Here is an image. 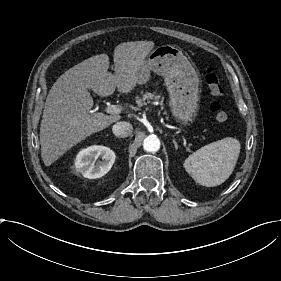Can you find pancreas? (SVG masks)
I'll return each mask as SVG.
<instances>
[{"instance_id": "pancreas-1", "label": "pancreas", "mask_w": 281, "mask_h": 281, "mask_svg": "<svg viewBox=\"0 0 281 281\" xmlns=\"http://www.w3.org/2000/svg\"><path fill=\"white\" fill-rule=\"evenodd\" d=\"M135 99L139 107L151 103V100H153L154 102H160V104H162L164 101V97L150 92H145L142 97L136 96Z\"/></svg>"}]
</instances>
